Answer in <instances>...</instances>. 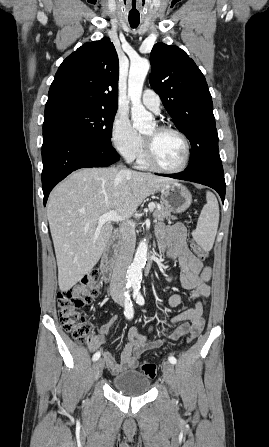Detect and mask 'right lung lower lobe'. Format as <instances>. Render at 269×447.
I'll return each instance as SVG.
<instances>
[{
  "mask_svg": "<svg viewBox=\"0 0 269 447\" xmlns=\"http://www.w3.org/2000/svg\"><path fill=\"white\" fill-rule=\"evenodd\" d=\"M118 159L111 145L89 138L65 122L45 119L42 145L44 206L54 186L72 171L106 167Z\"/></svg>",
  "mask_w": 269,
  "mask_h": 447,
  "instance_id": "98d812e1",
  "label": "right lung lower lobe"
}]
</instances>
